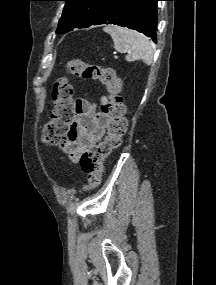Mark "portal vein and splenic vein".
Returning a JSON list of instances; mask_svg holds the SVG:
<instances>
[{
	"instance_id": "18ae733b",
	"label": "portal vein and splenic vein",
	"mask_w": 216,
	"mask_h": 285,
	"mask_svg": "<svg viewBox=\"0 0 216 285\" xmlns=\"http://www.w3.org/2000/svg\"><path fill=\"white\" fill-rule=\"evenodd\" d=\"M114 58H115V59H117V58H118V56L116 55V56H114Z\"/></svg>"
}]
</instances>
